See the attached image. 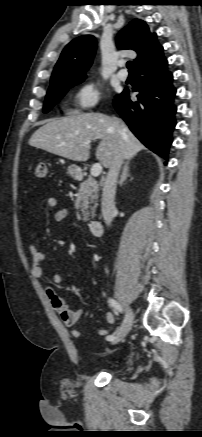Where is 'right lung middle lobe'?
Returning <instances> with one entry per match:
<instances>
[{"mask_svg": "<svg viewBox=\"0 0 202 437\" xmlns=\"http://www.w3.org/2000/svg\"><path fill=\"white\" fill-rule=\"evenodd\" d=\"M85 78L86 76H80L50 85L44 102L43 112H49L71 87L83 82Z\"/></svg>", "mask_w": 202, "mask_h": 437, "instance_id": "right-lung-middle-lobe-1", "label": "right lung middle lobe"}]
</instances>
